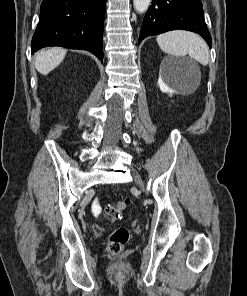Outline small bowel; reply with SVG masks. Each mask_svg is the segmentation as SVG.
I'll list each match as a JSON object with an SVG mask.
<instances>
[{"label": "small bowel", "mask_w": 247, "mask_h": 296, "mask_svg": "<svg viewBox=\"0 0 247 296\" xmlns=\"http://www.w3.org/2000/svg\"><path fill=\"white\" fill-rule=\"evenodd\" d=\"M95 210H96V212H97V211L99 210V207H98V206H96Z\"/></svg>", "instance_id": "1"}]
</instances>
